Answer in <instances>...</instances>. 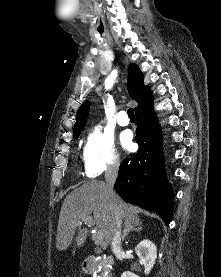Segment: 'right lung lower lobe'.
Listing matches in <instances>:
<instances>
[{"label":"right lung lower lobe","instance_id":"obj_1","mask_svg":"<svg viewBox=\"0 0 221 277\" xmlns=\"http://www.w3.org/2000/svg\"><path fill=\"white\" fill-rule=\"evenodd\" d=\"M153 100L152 97L135 111L139 151L121 163L114 188L126 202L156 212L168 225L173 192L163 169L162 134Z\"/></svg>","mask_w":221,"mask_h":277}]
</instances>
